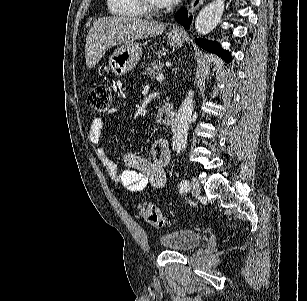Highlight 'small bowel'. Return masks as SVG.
<instances>
[{
  "label": "small bowel",
  "mask_w": 307,
  "mask_h": 301,
  "mask_svg": "<svg viewBox=\"0 0 307 301\" xmlns=\"http://www.w3.org/2000/svg\"><path fill=\"white\" fill-rule=\"evenodd\" d=\"M120 113V109L112 108L107 112V116L115 118ZM103 127L102 118L97 117L92 120L88 132L91 143H99ZM96 155L115 184L130 192H139L146 188L161 189L166 183L165 169L170 161V151L168 143L164 140L154 144L151 160L135 152L125 154L124 162L128 169L124 171L118 170L116 163L103 147L96 148Z\"/></svg>",
  "instance_id": "c3829d8e"
}]
</instances>
